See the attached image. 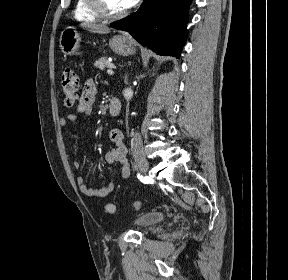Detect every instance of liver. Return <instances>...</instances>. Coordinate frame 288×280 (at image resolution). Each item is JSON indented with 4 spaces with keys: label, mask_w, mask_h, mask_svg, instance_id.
Masks as SVG:
<instances>
[{
    "label": "liver",
    "mask_w": 288,
    "mask_h": 280,
    "mask_svg": "<svg viewBox=\"0 0 288 280\" xmlns=\"http://www.w3.org/2000/svg\"><path fill=\"white\" fill-rule=\"evenodd\" d=\"M81 27L84 29L89 30L93 33H100V34H106L109 33L110 29L102 24H91V23H83L81 24Z\"/></svg>",
    "instance_id": "1"
}]
</instances>
